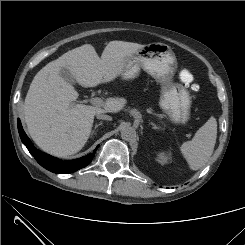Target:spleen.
Masks as SVG:
<instances>
[{
	"label": "spleen",
	"mask_w": 245,
	"mask_h": 245,
	"mask_svg": "<svg viewBox=\"0 0 245 245\" xmlns=\"http://www.w3.org/2000/svg\"><path fill=\"white\" fill-rule=\"evenodd\" d=\"M216 138L217 121L214 117H210L197 130L191 141H187L181 145V153L192 170L201 169L208 162L213 154Z\"/></svg>",
	"instance_id": "spleen-1"
}]
</instances>
